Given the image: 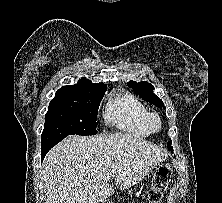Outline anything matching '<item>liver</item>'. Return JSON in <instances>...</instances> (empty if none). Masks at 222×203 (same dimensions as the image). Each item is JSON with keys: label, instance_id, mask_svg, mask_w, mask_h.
Returning a JSON list of instances; mask_svg holds the SVG:
<instances>
[{"label": "liver", "instance_id": "obj_1", "mask_svg": "<svg viewBox=\"0 0 222 203\" xmlns=\"http://www.w3.org/2000/svg\"><path fill=\"white\" fill-rule=\"evenodd\" d=\"M162 148L127 133L72 135L46 155L41 171L46 203H98L139 183L164 161Z\"/></svg>", "mask_w": 222, "mask_h": 203}]
</instances>
